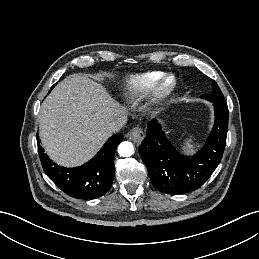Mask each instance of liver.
Here are the masks:
<instances>
[{
	"mask_svg": "<svg viewBox=\"0 0 259 259\" xmlns=\"http://www.w3.org/2000/svg\"><path fill=\"white\" fill-rule=\"evenodd\" d=\"M124 107L82 74L66 77L41 105L39 134L47 154L65 167L90 160L111 136L108 126Z\"/></svg>",
	"mask_w": 259,
	"mask_h": 259,
	"instance_id": "obj_1",
	"label": "liver"
}]
</instances>
